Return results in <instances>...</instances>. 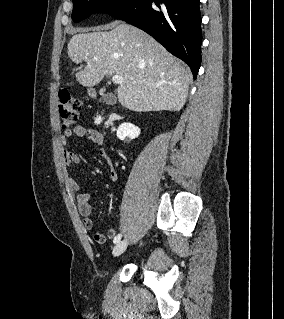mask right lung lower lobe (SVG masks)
<instances>
[{
	"label": "right lung lower lobe",
	"mask_w": 284,
	"mask_h": 319,
	"mask_svg": "<svg viewBox=\"0 0 284 319\" xmlns=\"http://www.w3.org/2000/svg\"><path fill=\"white\" fill-rule=\"evenodd\" d=\"M108 14L150 34L186 62L196 78L202 43L199 0H132Z\"/></svg>",
	"instance_id": "1"
}]
</instances>
